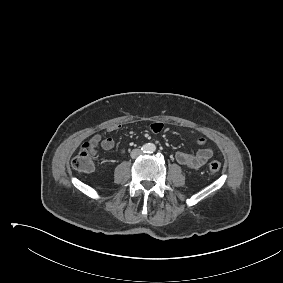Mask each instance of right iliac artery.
I'll list each match as a JSON object with an SVG mask.
<instances>
[{
	"instance_id": "1",
	"label": "right iliac artery",
	"mask_w": 283,
	"mask_h": 283,
	"mask_svg": "<svg viewBox=\"0 0 283 283\" xmlns=\"http://www.w3.org/2000/svg\"><path fill=\"white\" fill-rule=\"evenodd\" d=\"M142 150H143L144 152H146V151L148 150V147H147L146 145H144V146L142 147Z\"/></svg>"
}]
</instances>
